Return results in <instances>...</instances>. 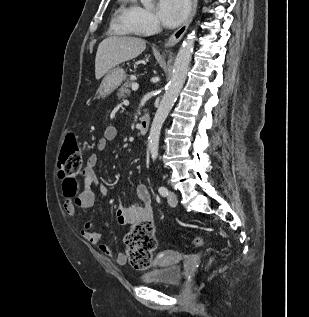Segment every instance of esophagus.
Wrapping results in <instances>:
<instances>
[{"label":"esophagus","instance_id":"34e87169","mask_svg":"<svg viewBox=\"0 0 309 317\" xmlns=\"http://www.w3.org/2000/svg\"><path fill=\"white\" fill-rule=\"evenodd\" d=\"M198 0H191V11L186 19V21L169 37V39L165 43V47L174 46L177 44L181 38L183 37L184 33L186 32L188 26L192 22V19L196 13Z\"/></svg>","mask_w":309,"mask_h":317}]
</instances>
